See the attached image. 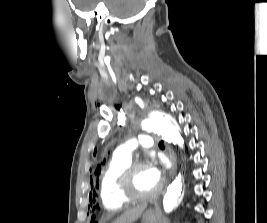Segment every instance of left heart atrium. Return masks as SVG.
Listing matches in <instances>:
<instances>
[{"instance_id":"obj_1","label":"left heart atrium","mask_w":267,"mask_h":223,"mask_svg":"<svg viewBox=\"0 0 267 223\" xmlns=\"http://www.w3.org/2000/svg\"><path fill=\"white\" fill-rule=\"evenodd\" d=\"M149 175H150V178L157 184L160 183L161 181V171L155 167V166H151L149 167Z\"/></svg>"}]
</instances>
